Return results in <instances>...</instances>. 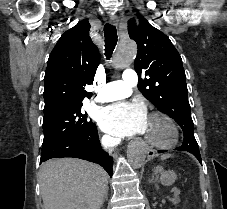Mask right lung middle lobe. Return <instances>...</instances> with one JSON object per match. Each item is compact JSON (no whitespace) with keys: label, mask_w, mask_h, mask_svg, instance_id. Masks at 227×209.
<instances>
[{"label":"right lung middle lobe","mask_w":227,"mask_h":209,"mask_svg":"<svg viewBox=\"0 0 227 209\" xmlns=\"http://www.w3.org/2000/svg\"><path fill=\"white\" fill-rule=\"evenodd\" d=\"M81 100L53 98L45 102L43 144L50 143L61 137L86 133L95 124L88 119L87 113L81 112Z\"/></svg>","instance_id":"1"}]
</instances>
